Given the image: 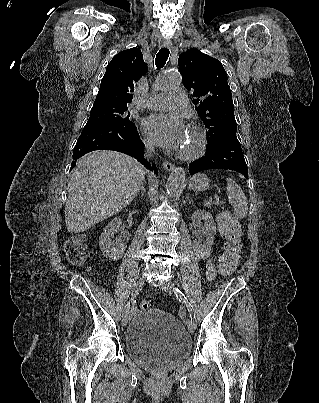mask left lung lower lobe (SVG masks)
Listing matches in <instances>:
<instances>
[{"label":"left lung lower lobe","mask_w":319,"mask_h":403,"mask_svg":"<svg viewBox=\"0 0 319 403\" xmlns=\"http://www.w3.org/2000/svg\"><path fill=\"white\" fill-rule=\"evenodd\" d=\"M206 169H229L248 178V168L236 134H232L213 146L207 145L205 156L190 164L191 175Z\"/></svg>","instance_id":"0a47b994"}]
</instances>
